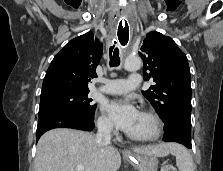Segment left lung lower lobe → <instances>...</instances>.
Segmentation results:
<instances>
[{
  "mask_svg": "<svg viewBox=\"0 0 223 171\" xmlns=\"http://www.w3.org/2000/svg\"><path fill=\"white\" fill-rule=\"evenodd\" d=\"M164 130L163 141L177 142L188 148H192L191 121L181 117H174L165 122Z\"/></svg>",
  "mask_w": 223,
  "mask_h": 171,
  "instance_id": "obj_1",
  "label": "left lung lower lobe"
}]
</instances>
